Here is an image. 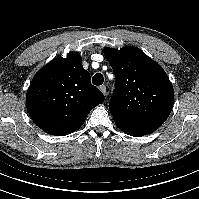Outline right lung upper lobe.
<instances>
[{
  "label": "right lung upper lobe",
  "instance_id": "obj_1",
  "mask_svg": "<svg viewBox=\"0 0 199 199\" xmlns=\"http://www.w3.org/2000/svg\"><path fill=\"white\" fill-rule=\"evenodd\" d=\"M105 97L90 82L79 53L56 58L34 76L26 106L33 122L46 133L64 136L80 128Z\"/></svg>",
  "mask_w": 199,
  "mask_h": 199
}]
</instances>
